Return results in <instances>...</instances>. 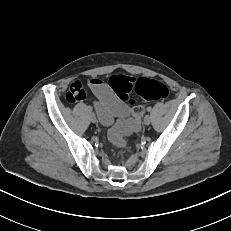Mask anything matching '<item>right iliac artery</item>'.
Returning a JSON list of instances; mask_svg holds the SVG:
<instances>
[{"label":"right iliac artery","mask_w":231,"mask_h":231,"mask_svg":"<svg viewBox=\"0 0 231 231\" xmlns=\"http://www.w3.org/2000/svg\"><path fill=\"white\" fill-rule=\"evenodd\" d=\"M88 111H92V107L91 106H88Z\"/></svg>","instance_id":"obj_1"}]
</instances>
